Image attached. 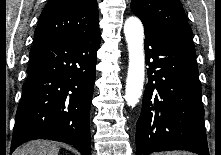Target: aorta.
Here are the masks:
<instances>
[{"label":"aorta","mask_w":221,"mask_h":155,"mask_svg":"<svg viewBox=\"0 0 221 155\" xmlns=\"http://www.w3.org/2000/svg\"><path fill=\"white\" fill-rule=\"evenodd\" d=\"M124 34L129 52L125 100L128 106L134 107L142 95L145 74L144 29L141 21L137 17H129L124 24Z\"/></svg>","instance_id":"obj_1"}]
</instances>
